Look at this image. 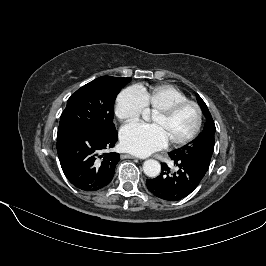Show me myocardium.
Returning a JSON list of instances; mask_svg holds the SVG:
<instances>
[{"mask_svg": "<svg viewBox=\"0 0 266 266\" xmlns=\"http://www.w3.org/2000/svg\"><path fill=\"white\" fill-rule=\"evenodd\" d=\"M186 106H192L195 109V111H196V124H195L193 130L187 136H185L182 139L169 142L170 145L173 147L183 146V145L191 142L198 135V133L201 129V126H202V121H203V113H202L201 107L195 101L186 100V101L174 103L172 105H169L165 108L159 109V110L154 112V114H156V115H160L163 117H169Z\"/></svg>", "mask_w": 266, "mask_h": 266, "instance_id": "1", "label": "myocardium"}]
</instances>
